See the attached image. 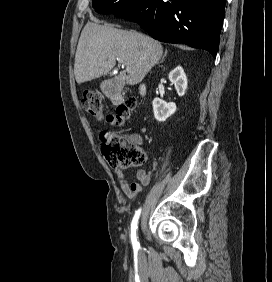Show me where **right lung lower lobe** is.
I'll use <instances>...</instances> for the list:
<instances>
[{
  "label": "right lung lower lobe",
  "mask_w": 272,
  "mask_h": 282,
  "mask_svg": "<svg viewBox=\"0 0 272 282\" xmlns=\"http://www.w3.org/2000/svg\"><path fill=\"white\" fill-rule=\"evenodd\" d=\"M225 1L139 0L113 14L137 22L154 39L185 43L216 57Z\"/></svg>",
  "instance_id": "right-lung-lower-lobe-1"
}]
</instances>
